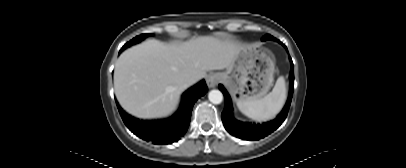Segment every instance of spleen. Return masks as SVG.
<instances>
[{"instance_id":"spleen-1","label":"spleen","mask_w":406,"mask_h":168,"mask_svg":"<svg viewBox=\"0 0 406 168\" xmlns=\"http://www.w3.org/2000/svg\"><path fill=\"white\" fill-rule=\"evenodd\" d=\"M286 100V86L284 77L280 76L273 90L262 99L238 102L239 110L247 117L266 121L274 118L282 109Z\"/></svg>"}]
</instances>
